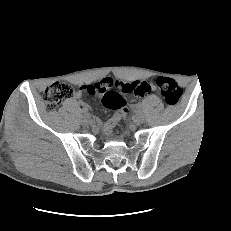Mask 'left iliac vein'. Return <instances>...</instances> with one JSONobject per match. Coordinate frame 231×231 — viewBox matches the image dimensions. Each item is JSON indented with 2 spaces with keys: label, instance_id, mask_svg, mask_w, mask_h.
Returning a JSON list of instances; mask_svg holds the SVG:
<instances>
[{
  "label": "left iliac vein",
  "instance_id": "4c4485c4",
  "mask_svg": "<svg viewBox=\"0 0 231 231\" xmlns=\"http://www.w3.org/2000/svg\"><path fill=\"white\" fill-rule=\"evenodd\" d=\"M136 119L139 123H143L145 121V116L143 113L138 112L136 115Z\"/></svg>",
  "mask_w": 231,
  "mask_h": 231
}]
</instances>
